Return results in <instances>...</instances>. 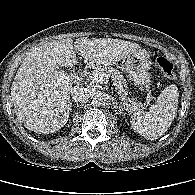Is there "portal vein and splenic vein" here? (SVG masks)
I'll return each instance as SVG.
<instances>
[{"mask_svg":"<svg viewBox=\"0 0 195 195\" xmlns=\"http://www.w3.org/2000/svg\"><path fill=\"white\" fill-rule=\"evenodd\" d=\"M101 82V83H107L109 81V78L108 77H105L104 75H102L99 80L95 77L93 82L94 83H97V82Z\"/></svg>","mask_w":195,"mask_h":195,"instance_id":"portal-vein-and-splenic-vein-1","label":"portal vein and splenic vein"}]
</instances>
